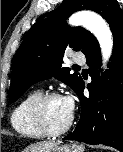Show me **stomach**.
<instances>
[{"mask_svg": "<svg viewBox=\"0 0 123 152\" xmlns=\"http://www.w3.org/2000/svg\"><path fill=\"white\" fill-rule=\"evenodd\" d=\"M51 152H84V147L79 144L62 145L53 148Z\"/></svg>", "mask_w": 123, "mask_h": 152, "instance_id": "1", "label": "stomach"}]
</instances>
